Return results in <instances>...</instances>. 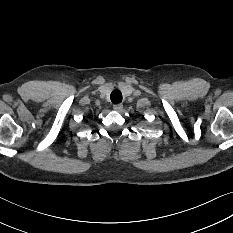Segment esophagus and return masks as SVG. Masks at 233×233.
<instances>
[{"label":"esophagus","mask_w":233,"mask_h":233,"mask_svg":"<svg viewBox=\"0 0 233 233\" xmlns=\"http://www.w3.org/2000/svg\"><path fill=\"white\" fill-rule=\"evenodd\" d=\"M113 109L116 110L117 112L122 111L123 105L122 104H116L113 106Z\"/></svg>","instance_id":"34e87169"}]
</instances>
